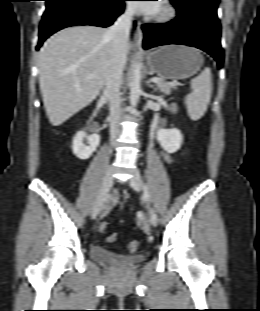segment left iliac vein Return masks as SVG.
<instances>
[{
  "label": "left iliac vein",
  "instance_id": "obj_1",
  "mask_svg": "<svg viewBox=\"0 0 260 311\" xmlns=\"http://www.w3.org/2000/svg\"><path fill=\"white\" fill-rule=\"evenodd\" d=\"M129 183L135 191L139 192L142 190V181L137 170L134 171ZM149 222L152 226H157L158 224L157 214L151 207L149 208Z\"/></svg>",
  "mask_w": 260,
  "mask_h": 311
}]
</instances>
